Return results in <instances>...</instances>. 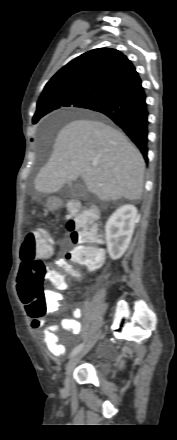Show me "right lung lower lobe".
<instances>
[{"instance_id": "98d812e1", "label": "right lung lower lobe", "mask_w": 177, "mask_h": 440, "mask_svg": "<svg viewBox=\"0 0 177 440\" xmlns=\"http://www.w3.org/2000/svg\"><path fill=\"white\" fill-rule=\"evenodd\" d=\"M86 109L100 112L120 126L140 149L144 159L148 160L149 113L146 95L139 76L99 98Z\"/></svg>"}]
</instances>
